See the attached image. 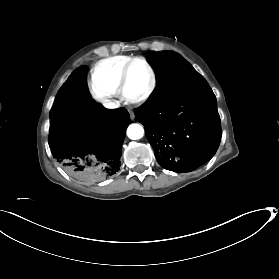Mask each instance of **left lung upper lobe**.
<instances>
[{
    "label": "left lung upper lobe",
    "instance_id": "obj_1",
    "mask_svg": "<svg viewBox=\"0 0 279 279\" xmlns=\"http://www.w3.org/2000/svg\"><path fill=\"white\" fill-rule=\"evenodd\" d=\"M147 59L155 68L157 84L143 105L164 103L202 77L190 63L172 51L148 52Z\"/></svg>",
    "mask_w": 279,
    "mask_h": 279
}]
</instances>
